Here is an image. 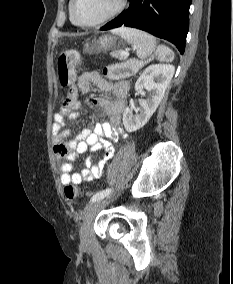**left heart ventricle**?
Here are the masks:
<instances>
[{
	"label": "left heart ventricle",
	"mask_w": 233,
	"mask_h": 284,
	"mask_svg": "<svg viewBox=\"0 0 233 284\" xmlns=\"http://www.w3.org/2000/svg\"><path fill=\"white\" fill-rule=\"evenodd\" d=\"M118 0H77L76 15L83 22H95L110 13Z\"/></svg>",
	"instance_id": "1"
}]
</instances>
